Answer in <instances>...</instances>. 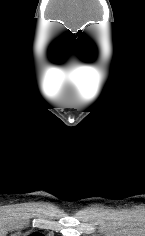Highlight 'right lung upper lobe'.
<instances>
[{
	"label": "right lung upper lobe",
	"instance_id": "cb5924a9",
	"mask_svg": "<svg viewBox=\"0 0 145 236\" xmlns=\"http://www.w3.org/2000/svg\"><path fill=\"white\" fill-rule=\"evenodd\" d=\"M30 236H43L42 234H39V233H33L31 234Z\"/></svg>",
	"mask_w": 145,
	"mask_h": 236
}]
</instances>
